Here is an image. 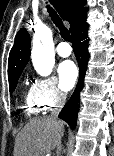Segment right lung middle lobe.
Here are the masks:
<instances>
[{"instance_id":"1","label":"right lung middle lobe","mask_w":114,"mask_h":156,"mask_svg":"<svg viewBox=\"0 0 114 156\" xmlns=\"http://www.w3.org/2000/svg\"><path fill=\"white\" fill-rule=\"evenodd\" d=\"M19 77H20V75L9 78L10 92H13L14 89L16 88L17 81H18Z\"/></svg>"}]
</instances>
